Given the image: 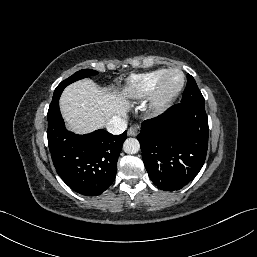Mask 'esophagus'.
I'll list each match as a JSON object with an SVG mask.
<instances>
[{"label":"esophagus","instance_id":"1","mask_svg":"<svg viewBox=\"0 0 257 257\" xmlns=\"http://www.w3.org/2000/svg\"><path fill=\"white\" fill-rule=\"evenodd\" d=\"M128 136H136L138 134V129L135 126H132L128 129Z\"/></svg>","mask_w":257,"mask_h":257}]
</instances>
